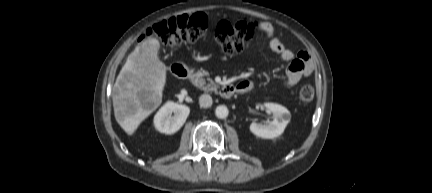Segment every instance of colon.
<instances>
[{
    "instance_id": "1",
    "label": "colon",
    "mask_w": 432,
    "mask_h": 193,
    "mask_svg": "<svg viewBox=\"0 0 432 193\" xmlns=\"http://www.w3.org/2000/svg\"><path fill=\"white\" fill-rule=\"evenodd\" d=\"M207 16L203 13L180 15L152 25L146 36L156 37L166 47L197 42L206 32ZM253 28L246 22L230 23L221 21L215 29V40L227 55H235L244 51L253 36ZM314 88L304 85L299 91L302 102L308 103L314 98Z\"/></svg>"
}]
</instances>
